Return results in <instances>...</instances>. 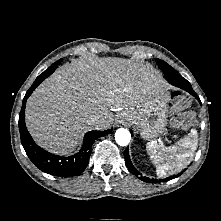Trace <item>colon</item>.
<instances>
[{
    "label": "colon",
    "instance_id": "1",
    "mask_svg": "<svg viewBox=\"0 0 221 221\" xmlns=\"http://www.w3.org/2000/svg\"><path fill=\"white\" fill-rule=\"evenodd\" d=\"M189 105V99L185 94H178L173 97V110L174 117L172 119V127L174 129H179L191 121V116L184 114V111Z\"/></svg>",
    "mask_w": 221,
    "mask_h": 221
}]
</instances>
